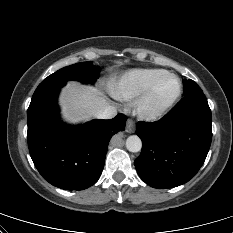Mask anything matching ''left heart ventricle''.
Masks as SVG:
<instances>
[{"label":"left heart ventricle","instance_id":"obj_1","mask_svg":"<svg viewBox=\"0 0 233 233\" xmlns=\"http://www.w3.org/2000/svg\"><path fill=\"white\" fill-rule=\"evenodd\" d=\"M177 84L174 78L165 77L163 78L158 86L156 87L153 96L151 98V107H159L167 100H169L176 92Z\"/></svg>","mask_w":233,"mask_h":233}]
</instances>
